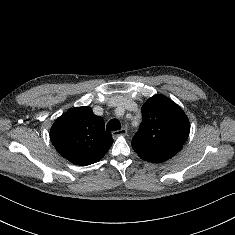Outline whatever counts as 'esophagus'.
I'll use <instances>...</instances> for the list:
<instances>
[{
  "instance_id": "esophagus-1",
  "label": "esophagus",
  "mask_w": 235,
  "mask_h": 235,
  "mask_svg": "<svg viewBox=\"0 0 235 235\" xmlns=\"http://www.w3.org/2000/svg\"><path fill=\"white\" fill-rule=\"evenodd\" d=\"M127 134V129L122 128L120 130L114 131L112 133L113 138H117L119 136H125Z\"/></svg>"
}]
</instances>
